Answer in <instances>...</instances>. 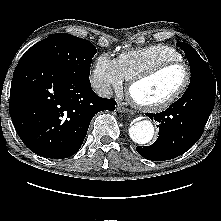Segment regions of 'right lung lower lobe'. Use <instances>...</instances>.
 Instances as JSON below:
<instances>
[{"label": "right lung lower lobe", "mask_w": 221, "mask_h": 221, "mask_svg": "<svg viewBox=\"0 0 221 221\" xmlns=\"http://www.w3.org/2000/svg\"><path fill=\"white\" fill-rule=\"evenodd\" d=\"M115 104L95 94L89 77L25 53L13 74L9 113L32 152L62 159L79 150L94 115Z\"/></svg>", "instance_id": "98d812e1"}]
</instances>
